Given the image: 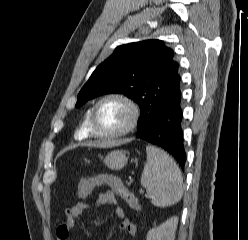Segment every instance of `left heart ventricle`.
<instances>
[{"label":"left heart ventricle","mask_w":248,"mask_h":240,"mask_svg":"<svg viewBox=\"0 0 248 240\" xmlns=\"http://www.w3.org/2000/svg\"><path fill=\"white\" fill-rule=\"evenodd\" d=\"M128 120L129 112L122 103L108 101L98 108L95 124L100 133H113L122 129Z\"/></svg>","instance_id":"1"}]
</instances>
